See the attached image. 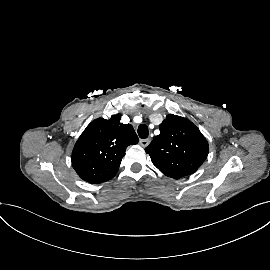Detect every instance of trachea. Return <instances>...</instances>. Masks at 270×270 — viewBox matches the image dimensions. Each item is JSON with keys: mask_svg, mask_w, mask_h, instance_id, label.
<instances>
[{"mask_svg": "<svg viewBox=\"0 0 270 270\" xmlns=\"http://www.w3.org/2000/svg\"><path fill=\"white\" fill-rule=\"evenodd\" d=\"M149 131L148 127L145 124H140L138 127V135L140 138L145 139L148 137Z\"/></svg>", "mask_w": 270, "mask_h": 270, "instance_id": "1", "label": "trachea"}]
</instances>
